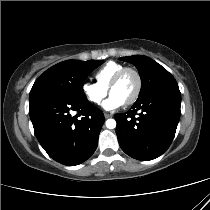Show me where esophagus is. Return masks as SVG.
Returning a JSON list of instances; mask_svg holds the SVG:
<instances>
[{
  "instance_id": "1",
  "label": "esophagus",
  "mask_w": 210,
  "mask_h": 210,
  "mask_svg": "<svg viewBox=\"0 0 210 210\" xmlns=\"http://www.w3.org/2000/svg\"><path fill=\"white\" fill-rule=\"evenodd\" d=\"M104 117H105L106 119H108V118L112 117V115L109 114V113H105V114H104Z\"/></svg>"
}]
</instances>
